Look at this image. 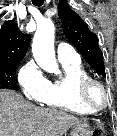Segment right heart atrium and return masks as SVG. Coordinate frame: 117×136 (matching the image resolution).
<instances>
[{"label": "right heart atrium", "mask_w": 117, "mask_h": 136, "mask_svg": "<svg viewBox=\"0 0 117 136\" xmlns=\"http://www.w3.org/2000/svg\"><path fill=\"white\" fill-rule=\"evenodd\" d=\"M18 83L26 98L43 103L49 81L33 61L26 63L19 70Z\"/></svg>", "instance_id": "right-heart-atrium-1"}]
</instances>
